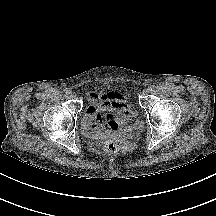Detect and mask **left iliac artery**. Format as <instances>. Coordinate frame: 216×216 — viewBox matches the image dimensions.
I'll return each instance as SVG.
<instances>
[{
	"mask_svg": "<svg viewBox=\"0 0 216 216\" xmlns=\"http://www.w3.org/2000/svg\"><path fill=\"white\" fill-rule=\"evenodd\" d=\"M155 88H156L155 85H150V86H149V89H150L151 91H153Z\"/></svg>",
	"mask_w": 216,
	"mask_h": 216,
	"instance_id": "obj_1",
	"label": "left iliac artery"
}]
</instances>
